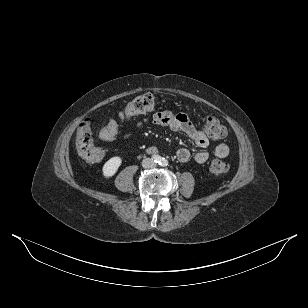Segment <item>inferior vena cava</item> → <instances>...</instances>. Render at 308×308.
<instances>
[{"label":"inferior vena cava","instance_id":"inferior-vena-cava-1","mask_svg":"<svg viewBox=\"0 0 308 308\" xmlns=\"http://www.w3.org/2000/svg\"><path fill=\"white\" fill-rule=\"evenodd\" d=\"M142 166L144 168H154V167H156V163L151 158H145L142 161Z\"/></svg>","mask_w":308,"mask_h":308}]
</instances>
